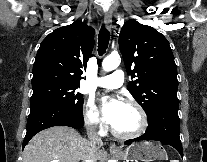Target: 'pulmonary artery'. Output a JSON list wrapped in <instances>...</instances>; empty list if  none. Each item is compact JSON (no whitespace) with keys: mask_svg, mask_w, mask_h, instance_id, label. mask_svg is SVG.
Segmentation results:
<instances>
[{"mask_svg":"<svg viewBox=\"0 0 207 162\" xmlns=\"http://www.w3.org/2000/svg\"><path fill=\"white\" fill-rule=\"evenodd\" d=\"M123 81V72L121 70H115L110 75L97 78L95 85L106 89H116L122 86Z\"/></svg>","mask_w":207,"mask_h":162,"instance_id":"pulmonary-artery-1","label":"pulmonary artery"}]
</instances>
